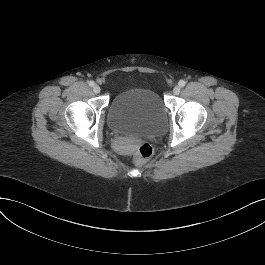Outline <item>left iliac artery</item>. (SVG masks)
<instances>
[{
    "instance_id": "left-iliac-artery-1",
    "label": "left iliac artery",
    "mask_w": 265,
    "mask_h": 265,
    "mask_svg": "<svg viewBox=\"0 0 265 265\" xmlns=\"http://www.w3.org/2000/svg\"><path fill=\"white\" fill-rule=\"evenodd\" d=\"M178 84L180 87H184L186 82L184 80H180Z\"/></svg>"
}]
</instances>
